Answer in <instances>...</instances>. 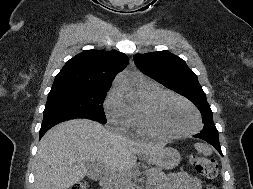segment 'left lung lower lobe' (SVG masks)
<instances>
[{
	"label": "left lung lower lobe",
	"mask_w": 253,
	"mask_h": 189,
	"mask_svg": "<svg viewBox=\"0 0 253 189\" xmlns=\"http://www.w3.org/2000/svg\"><path fill=\"white\" fill-rule=\"evenodd\" d=\"M194 137L200 138V139H203V140L209 142L222 155V151H221V147H220V143H219V139H218V134L201 132L199 134H196Z\"/></svg>",
	"instance_id": "obj_1"
}]
</instances>
